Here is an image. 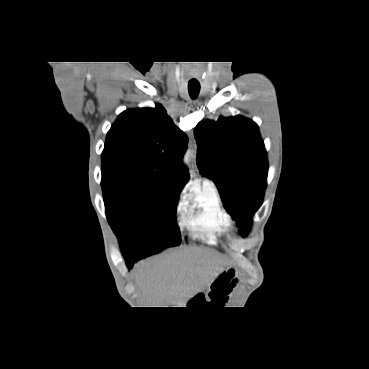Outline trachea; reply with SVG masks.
Returning a JSON list of instances; mask_svg holds the SVG:
<instances>
[{"instance_id":"3493384b","label":"trachea","mask_w":369,"mask_h":369,"mask_svg":"<svg viewBox=\"0 0 369 369\" xmlns=\"http://www.w3.org/2000/svg\"><path fill=\"white\" fill-rule=\"evenodd\" d=\"M188 92L192 99H195L200 92V84L199 83H189L188 84Z\"/></svg>"}]
</instances>
